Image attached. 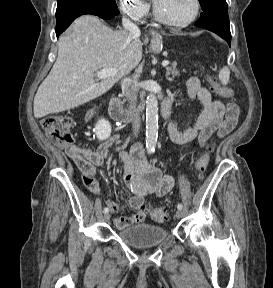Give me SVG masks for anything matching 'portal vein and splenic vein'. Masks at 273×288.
I'll use <instances>...</instances> for the list:
<instances>
[{
	"instance_id": "18ae733b",
	"label": "portal vein and splenic vein",
	"mask_w": 273,
	"mask_h": 288,
	"mask_svg": "<svg viewBox=\"0 0 273 288\" xmlns=\"http://www.w3.org/2000/svg\"><path fill=\"white\" fill-rule=\"evenodd\" d=\"M168 64H169V62L166 61V60L162 62V65H163L164 67L167 66ZM116 73H117L116 69L105 68V69H102V70L98 71V72L96 73V75H97L98 79H105V78H107V77H113V76H115ZM135 77H136V76H135Z\"/></svg>"
}]
</instances>
